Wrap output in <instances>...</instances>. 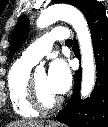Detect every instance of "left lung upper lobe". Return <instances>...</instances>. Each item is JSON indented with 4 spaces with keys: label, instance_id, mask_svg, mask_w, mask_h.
Masks as SVG:
<instances>
[{
    "label": "left lung upper lobe",
    "instance_id": "5c2ea615",
    "mask_svg": "<svg viewBox=\"0 0 108 127\" xmlns=\"http://www.w3.org/2000/svg\"><path fill=\"white\" fill-rule=\"evenodd\" d=\"M54 3H67L79 8L83 0H53ZM29 33V21L25 15L19 18L11 37V45L9 50V57L22 46Z\"/></svg>",
    "mask_w": 108,
    "mask_h": 127
}]
</instances>
